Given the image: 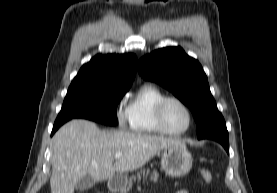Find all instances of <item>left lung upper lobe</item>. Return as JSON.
<instances>
[{"mask_svg": "<svg viewBox=\"0 0 277 193\" xmlns=\"http://www.w3.org/2000/svg\"><path fill=\"white\" fill-rule=\"evenodd\" d=\"M140 75L167 88L187 105L196 120L197 137L227 129L211 95L208 79L199 62L180 47L158 49L141 58Z\"/></svg>", "mask_w": 277, "mask_h": 193, "instance_id": "5c2ea615", "label": "left lung upper lobe"}]
</instances>
